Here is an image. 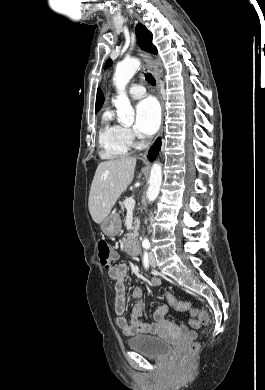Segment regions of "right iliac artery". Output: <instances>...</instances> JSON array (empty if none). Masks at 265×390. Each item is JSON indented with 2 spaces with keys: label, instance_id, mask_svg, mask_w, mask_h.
I'll list each match as a JSON object with an SVG mask.
<instances>
[{
  "label": "right iliac artery",
  "instance_id": "obj_1",
  "mask_svg": "<svg viewBox=\"0 0 265 390\" xmlns=\"http://www.w3.org/2000/svg\"><path fill=\"white\" fill-rule=\"evenodd\" d=\"M143 263H144V267L146 269H148L149 268V259H148V253L146 251H144Z\"/></svg>",
  "mask_w": 265,
  "mask_h": 390
}]
</instances>
